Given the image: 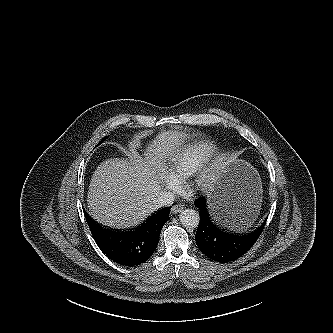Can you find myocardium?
<instances>
[{
  "instance_id": "myocardium-1",
  "label": "myocardium",
  "mask_w": 333,
  "mask_h": 333,
  "mask_svg": "<svg viewBox=\"0 0 333 333\" xmlns=\"http://www.w3.org/2000/svg\"><path fill=\"white\" fill-rule=\"evenodd\" d=\"M216 181L214 173L209 169H200L191 179L190 185L198 191L209 190Z\"/></svg>"
}]
</instances>
